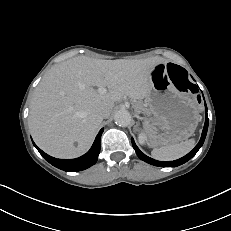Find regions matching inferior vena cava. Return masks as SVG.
<instances>
[{
    "instance_id": "obj_1",
    "label": "inferior vena cava",
    "mask_w": 231,
    "mask_h": 231,
    "mask_svg": "<svg viewBox=\"0 0 231 231\" xmlns=\"http://www.w3.org/2000/svg\"><path fill=\"white\" fill-rule=\"evenodd\" d=\"M97 114L101 119H105L109 117L110 111L106 108H101L98 110Z\"/></svg>"
}]
</instances>
